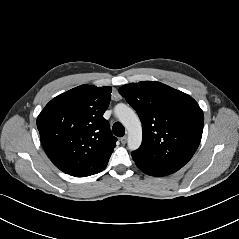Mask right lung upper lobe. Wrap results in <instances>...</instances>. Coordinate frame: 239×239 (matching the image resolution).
Masks as SVG:
<instances>
[{
    "mask_svg": "<svg viewBox=\"0 0 239 239\" xmlns=\"http://www.w3.org/2000/svg\"><path fill=\"white\" fill-rule=\"evenodd\" d=\"M110 86L81 85L53 98L37 118L42 146L64 173L86 177L101 172L116 147L103 114Z\"/></svg>",
    "mask_w": 239,
    "mask_h": 239,
    "instance_id": "cb5924a9",
    "label": "right lung upper lobe"
}]
</instances>
